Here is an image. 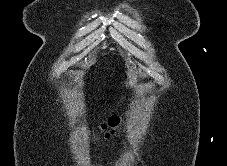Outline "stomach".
Segmentation results:
<instances>
[{"label":"stomach","mask_w":227,"mask_h":166,"mask_svg":"<svg viewBox=\"0 0 227 166\" xmlns=\"http://www.w3.org/2000/svg\"><path fill=\"white\" fill-rule=\"evenodd\" d=\"M136 82L135 76H127V79L124 81L126 87H132Z\"/></svg>","instance_id":"obj_1"}]
</instances>
